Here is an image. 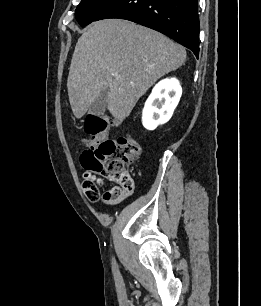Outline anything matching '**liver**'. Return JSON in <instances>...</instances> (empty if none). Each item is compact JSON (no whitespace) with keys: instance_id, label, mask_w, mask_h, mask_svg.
<instances>
[{"instance_id":"6515ba94","label":"liver","mask_w":261,"mask_h":306,"mask_svg":"<svg viewBox=\"0 0 261 306\" xmlns=\"http://www.w3.org/2000/svg\"><path fill=\"white\" fill-rule=\"evenodd\" d=\"M185 61L184 47L157 31L123 19L94 22L71 60L67 89L73 114L82 118L107 88L108 110L122 122L159 78Z\"/></svg>"}]
</instances>
